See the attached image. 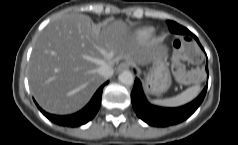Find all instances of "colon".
I'll return each mask as SVG.
<instances>
[{
    "mask_svg": "<svg viewBox=\"0 0 238 145\" xmlns=\"http://www.w3.org/2000/svg\"><path fill=\"white\" fill-rule=\"evenodd\" d=\"M200 61L201 53L193 40L183 39L174 43L171 70L179 82L184 84L198 82L202 78V72L198 69L186 70L185 62L199 63Z\"/></svg>",
    "mask_w": 238,
    "mask_h": 145,
    "instance_id": "5ec220e1",
    "label": "colon"
}]
</instances>
